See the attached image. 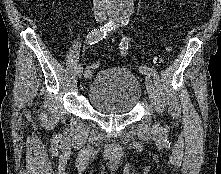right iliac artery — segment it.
Masks as SVG:
<instances>
[{
  "instance_id": "82829eb1",
  "label": "right iliac artery",
  "mask_w": 221,
  "mask_h": 174,
  "mask_svg": "<svg viewBox=\"0 0 221 174\" xmlns=\"http://www.w3.org/2000/svg\"><path fill=\"white\" fill-rule=\"evenodd\" d=\"M115 27V21L113 20H109L105 25H103L102 27L98 28V29H94L92 30L87 38H86V41H87V44L88 45H93L95 43H98L99 41H101L105 35L107 34V32L111 31L112 29H114ZM84 77L86 79H91L92 78V72L87 69L85 70V73H84Z\"/></svg>"
}]
</instances>
